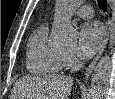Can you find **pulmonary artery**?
<instances>
[{"label":"pulmonary artery","mask_w":115,"mask_h":99,"mask_svg":"<svg viewBox=\"0 0 115 99\" xmlns=\"http://www.w3.org/2000/svg\"><path fill=\"white\" fill-rule=\"evenodd\" d=\"M74 13L82 18H92L94 15L93 8L90 5L78 7L74 10Z\"/></svg>","instance_id":"obj_1"}]
</instances>
